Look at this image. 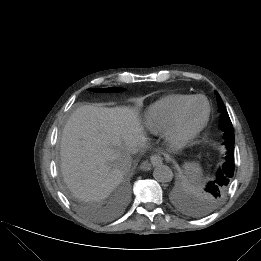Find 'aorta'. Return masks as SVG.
Masks as SVG:
<instances>
[{
  "mask_svg": "<svg viewBox=\"0 0 261 261\" xmlns=\"http://www.w3.org/2000/svg\"><path fill=\"white\" fill-rule=\"evenodd\" d=\"M153 177L158 182L167 183L172 180L173 172L169 166L161 164L154 168Z\"/></svg>",
  "mask_w": 261,
  "mask_h": 261,
  "instance_id": "1",
  "label": "aorta"
}]
</instances>
